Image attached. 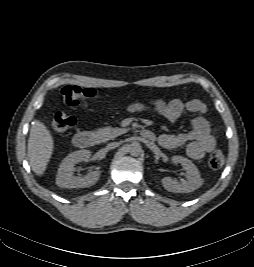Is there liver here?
Instances as JSON below:
<instances>
[{
	"mask_svg": "<svg viewBox=\"0 0 254 267\" xmlns=\"http://www.w3.org/2000/svg\"><path fill=\"white\" fill-rule=\"evenodd\" d=\"M54 140L50 131L39 120H35L28 139V157L32 170L38 176L44 174L53 153Z\"/></svg>",
	"mask_w": 254,
	"mask_h": 267,
	"instance_id": "1",
	"label": "liver"
}]
</instances>
